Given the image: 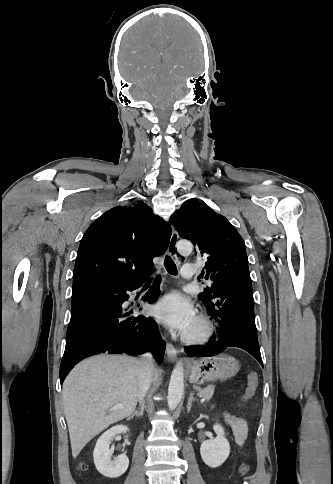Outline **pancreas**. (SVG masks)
Returning a JSON list of instances; mask_svg holds the SVG:
<instances>
[{
    "label": "pancreas",
    "instance_id": "pancreas-1",
    "mask_svg": "<svg viewBox=\"0 0 333 484\" xmlns=\"http://www.w3.org/2000/svg\"><path fill=\"white\" fill-rule=\"evenodd\" d=\"M196 389L198 390V392H199L198 395L200 397H202L206 401H209L214 394L215 385L210 384L203 389H201L200 387H197Z\"/></svg>",
    "mask_w": 333,
    "mask_h": 484
}]
</instances>
